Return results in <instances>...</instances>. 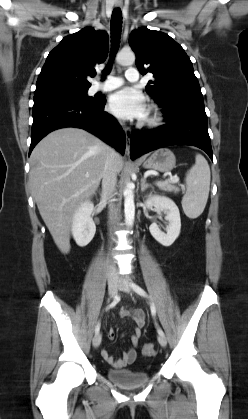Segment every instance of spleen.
<instances>
[{
    "instance_id": "spleen-1",
    "label": "spleen",
    "mask_w": 248,
    "mask_h": 419,
    "mask_svg": "<svg viewBox=\"0 0 248 419\" xmlns=\"http://www.w3.org/2000/svg\"><path fill=\"white\" fill-rule=\"evenodd\" d=\"M210 178V167L207 160L201 154H196L195 164L186 174V188H183L185 194L182 199V207L187 217L195 219L204 211L210 190ZM160 186L170 188L164 183Z\"/></svg>"
}]
</instances>
